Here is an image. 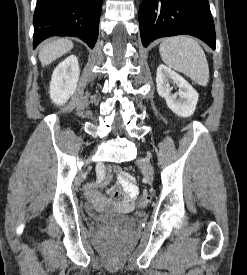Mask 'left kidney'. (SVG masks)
<instances>
[{
  "label": "left kidney",
  "instance_id": "5707ae66",
  "mask_svg": "<svg viewBox=\"0 0 247 275\" xmlns=\"http://www.w3.org/2000/svg\"><path fill=\"white\" fill-rule=\"evenodd\" d=\"M170 83L179 87L177 93L172 94ZM156 86L158 94L166 100L172 112L184 118L193 115L198 102V93L182 76L161 64L157 68Z\"/></svg>",
  "mask_w": 247,
  "mask_h": 275
}]
</instances>
